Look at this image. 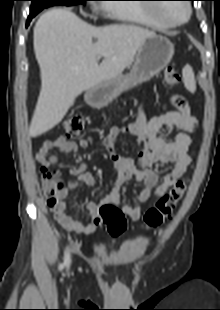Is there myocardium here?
Listing matches in <instances>:
<instances>
[{"label":"myocardium","instance_id":"1","mask_svg":"<svg viewBox=\"0 0 220 310\" xmlns=\"http://www.w3.org/2000/svg\"><path fill=\"white\" fill-rule=\"evenodd\" d=\"M186 8V11H187V14H186V17L180 21H174V20H171L167 17H164L162 16L160 13H159V9H156V8H151L150 9V12L151 14L158 20L162 21L163 23H165L166 25L170 26V27H177V26H181L183 24H185L190 16H191V6L189 4H183Z\"/></svg>","mask_w":220,"mask_h":310}]
</instances>
